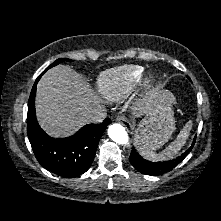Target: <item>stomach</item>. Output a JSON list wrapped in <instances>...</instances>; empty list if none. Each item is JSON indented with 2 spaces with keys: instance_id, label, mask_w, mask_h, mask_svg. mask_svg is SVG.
Masks as SVG:
<instances>
[{
  "instance_id": "obj_1",
  "label": "stomach",
  "mask_w": 221,
  "mask_h": 221,
  "mask_svg": "<svg viewBox=\"0 0 221 221\" xmlns=\"http://www.w3.org/2000/svg\"><path fill=\"white\" fill-rule=\"evenodd\" d=\"M174 96L168 91H156L144 118L134 131V142L139 150H156L163 146L175 130Z\"/></svg>"
}]
</instances>
